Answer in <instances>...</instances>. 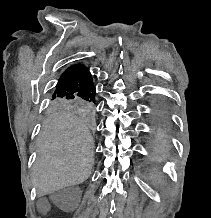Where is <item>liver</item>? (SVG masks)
<instances>
[{"mask_svg":"<svg viewBox=\"0 0 211 218\" xmlns=\"http://www.w3.org/2000/svg\"><path fill=\"white\" fill-rule=\"evenodd\" d=\"M39 156L32 184L39 196L82 184L91 174L94 144L88 128L70 112H57L45 122L37 140Z\"/></svg>","mask_w":211,"mask_h":218,"instance_id":"1","label":"liver"}]
</instances>
